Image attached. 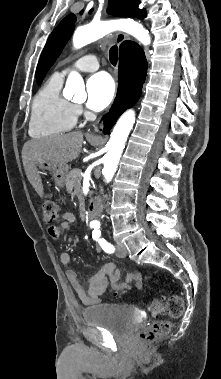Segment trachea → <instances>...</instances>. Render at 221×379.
<instances>
[{
  "instance_id": "obj_1",
  "label": "trachea",
  "mask_w": 221,
  "mask_h": 379,
  "mask_svg": "<svg viewBox=\"0 0 221 379\" xmlns=\"http://www.w3.org/2000/svg\"><path fill=\"white\" fill-rule=\"evenodd\" d=\"M109 59H110V62L112 65H116L117 64V60H118V49H117V46L114 45L113 47H111L110 51H109Z\"/></svg>"
}]
</instances>
